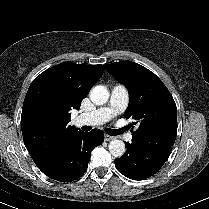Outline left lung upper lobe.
Wrapping results in <instances>:
<instances>
[{
	"label": "left lung upper lobe",
	"mask_w": 209,
	"mask_h": 209,
	"mask_svg": "<svg viewBox=\"0 0 209 209\" xmlns=\"http://www.w3.org/2000/svg\"><path fill=\"white\" fill-rule=\"evenodd\" d=\"M106 70L129 90L126 118L138 129L133 138L153 144L174 145L177 134V108L162 81L147 68L131 62L106 64ZM134 127V126H133Z\"/></svg>",
	"instance_id": "5c2ea615"
}]
</instances>
